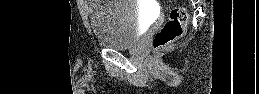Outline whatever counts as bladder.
Here are the masks:
<instances>
[{
    "label": "bladder",
    "mask_w": 259,
    "mask_h": 94,
    "mask_svg": "<svg viewBox=\"0 0 259 94\" xmlns=\"http://www.w3.org/2000/svg\"><path fill=\"white\" fill-rule=\"evenodd\" d=\"M89 20L96 40L106 48L134 46L141 34V11L132 0H92Z\"/></svg>",
    "instance_id": "obj_1"
}]
</instances>
